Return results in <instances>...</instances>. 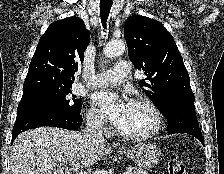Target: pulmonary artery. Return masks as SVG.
Listing matches in <instances>:
<instances>
[{"mask_svg": "<svg viewBox=\"0 0 224 174\" xmlns=\"http://www.w3.org/2000/svg\"><path fill=\"white\" fill-rule=\"evenodd\" d=\"M130 66L127 62H118L111 70L98 73L88 82L93 86H108L122 82L129 74Z\"/></svg>", "mask_w": 224, "mask_h": 174, "instance_id": "obj_1", "label": "pulmonary artery"}]
</instances>
